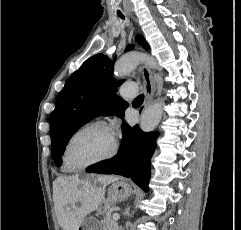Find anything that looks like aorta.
<instances>
[{
	"mask_svg": "<svg viewBox=\"0 0 241 230\" xmlns=\"http://www.w3.org/2000/svg\"><path fill=\"white\" fill-rule=\"evenodd\" d=\"M140 62H145L151 68H157L155 59L145 54L130 53L119 59L114 65V74L117 77L128 76ZM163 114V101L147 107L140 119V128L144 132L153 131L159 124Z\"/></svg>",
	"mask_w": 241,
	"mask_h": 230,
	"instance_id": "762f6f07",
	"label": "aorta"
}]
</instances>
